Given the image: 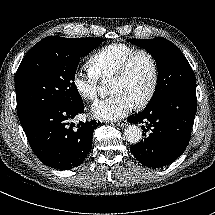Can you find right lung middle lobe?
Listing matches in <instances>:
<instances>
[{"label": "right lung middle lobe", "mask_w": 215, "mask_h": 215, "mask_svg": "<svg viewBox=\"0 0 215 215\" xmlns=\"http://www.w3.org/2000/svg\"><path fill=\"white\" fill-rule=\"evenodd\" d=\"M102 38L46 37L24 56L15 75L18 117L29 110L60 103H83L74 83L76 68Z\"/></svg>", "instance_id": "1"}]
</instances>
